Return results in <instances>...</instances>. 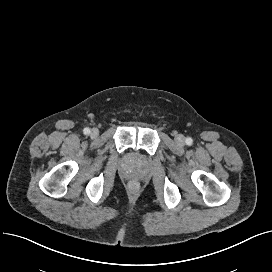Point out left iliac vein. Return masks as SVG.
Instances as JSON below:
<instances>
[{
  "label": "left iliac vein",
  "instance_id": "left-iliac-vein-1",
  "mask_svg": "<svg viewBox=\"0 0 272 272\" xmlns=\"http://www.w3.org/2000/svg\"><path fill=\"white\" fill-rule=\"evenodd\" d=\"M175 141H176L177 144L183 145L185 143V137L182 134H178L175 137Z\"/></svg>",
  "mask_w": 272,
  "mask_h": 272
}]
</instances>
